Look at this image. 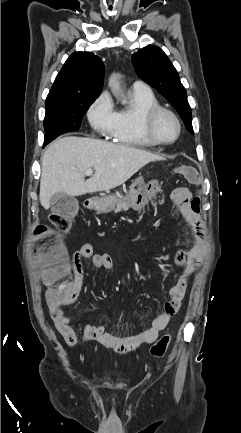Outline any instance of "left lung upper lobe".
I'll use <instances>...</instances> for the list:
<instances>
[{
	"instance_id": "obj_1",
	"label": "left lung upper lobe",
	"mask_w": 241,
	"mask_h": 433,
	"mask_svg": "<svg viewBox=\"0 0 241 433\" xmlns=\"http://www.w3.org/2000/svg\"><path fill=\"white\" fill-rule=\"evenodd\" d=\"M137 75L152 85L179 112L186 129L194 134L192 112L184 86L178 73L164 51L157 46H148L132 56Z\"/></svg>"
}]
</instances>
